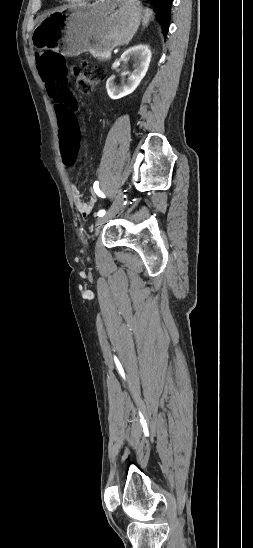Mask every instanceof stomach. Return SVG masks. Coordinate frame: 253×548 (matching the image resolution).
Listing matches in <instances>:
<instances>
[{
    "mask_svg": "<svg viewBox=\"0 0 253 548\" xmlns=\"http://www.w3.org/2000/svg\"><path fill=\"white\" fill-rule=\"evenodd\" d=\"M143 18L138 0H97L66 6L33 32L37 47L57 45L66 56L86 51H110L128 44Z\"/></svg>",
    "mask_w": 253,
    "mask_h": 548,
    "instance_id": "1",
    "label": "stomach"
}]
</instances>
